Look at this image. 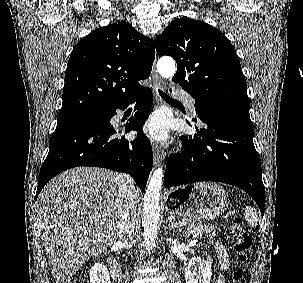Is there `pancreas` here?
Returning a JSON list of instances; mask_svg holds the SVG:
<instances>
[{"instance_id":"1","label":"pancreas","mask_w":303,"mask_h":283,"mask_svg":"<svg viewBox=\"0 0 303 283\" xmlns=\"http://www.w3.org/2000/svg\"><path fill=\"white\" fill-rule=\"evenodd\" d=\"M182 226L185 227L188 234L195 236L207 235L209 237L215 236V227L212 224H206L202 221H197L192 218H182L180 220Z\"/></svg>"}]
</instances>
